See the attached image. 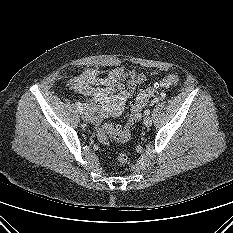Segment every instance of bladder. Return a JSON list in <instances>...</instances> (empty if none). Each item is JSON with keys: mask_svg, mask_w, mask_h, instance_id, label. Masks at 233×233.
Wrapping results in <instances>:
<instances>
[{"mask_svg": "<svg viewBox=\"0 0 233 233\" xmlns=\"http://www.w3.org/2000/svg\"><path fill=\"white\" fill-rule=\"evenodd\" d=\"M91 118L93 122H99L102 119V112L99 109H91Z\"/></svg>", "mask_w": 233, "mask_h": 233, "instance_id": "bladder-1", "label": "bladder"}]
</instances>
